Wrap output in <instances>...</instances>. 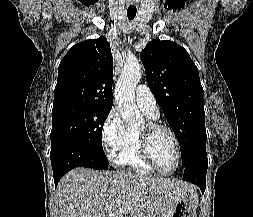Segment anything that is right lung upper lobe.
Here are the masks:
<instances>
[{"label":"right lung upper lobe","instance_id":"obj_1","mask_svg":"<svg viewBox=\"0 0 253 217\" xmlns=\"http://www.w3.org/2000/svg\"><path fill=\"white\" fill-rule=\"evenodd\" d=\"M113 62L105 37L70 48L61 60L54 91V105L83 102L112 107Z\"/></svg>","mask_w":253,"mask_h":217}]
</instances>
